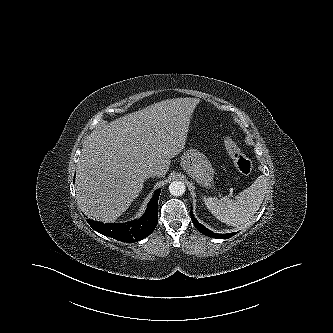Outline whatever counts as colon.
<instances>
[{
  "label": "colon",
  "mask_w": 333,
  "mask_h": 333,
  "mask_svg": "<svg viewBox=\"0 0 333 333\" xmlns=\"http://www.w3.org/2000/svg\"><path fill=\"white\" fill-rule=\"evenodd\" d=\"M224 145L237 171L243 175L250 174L253 169L252 162L241 151L237 143L232 138L227 137L224 140Z\"/></svg>",
  "instance_id": "colon-1"
}]
</instances>
